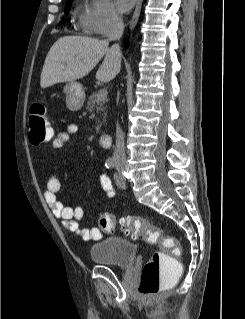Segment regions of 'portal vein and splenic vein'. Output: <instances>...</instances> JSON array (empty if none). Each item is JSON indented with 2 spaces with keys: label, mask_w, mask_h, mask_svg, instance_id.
I'll use <instances>...</instances> for the list:
<instances>
[{
  "label": "portal vein and splenic vein",
  "mask_w": 245,
  "mask_h": 319,
  "mask_svg": "<svg viewBox=\"0 0 245 319\" xmlns=\"http://www.w3.org/2000/svg\"><path fill=\"white\" fill-rule=\"evenodd\" d=\"M107 89H101L98 91V94H97V102H100V101H103L106 99L107 97Z\"/></svg>",
  "instance_id": "1"
}]
</instances>
